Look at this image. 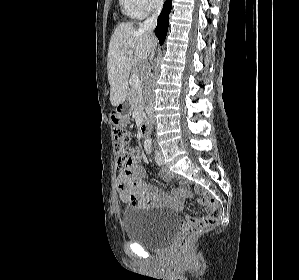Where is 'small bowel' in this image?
<instances>
[{"label":"small bowel","mask_w":299,"mask_h":280,"mask_svg":"<svg viewBox=\"0 0 299 280\" xmlns=\"http://www.w3.org/2000/svg\"><path fill=\"white\" fill-rule=\"evenodd\" d=\"M139 154L136 151L131 157L128 167L121 169L116 180L120 199L131 206L139 208L167 206L179 210L183 206L185 198L189 195V189L185 183L180 188L173 190L169 195L164 194L157 187L144 181L145 170L138 164ZM173 174L163 170L159 174V180L169 181Z\"/></svg>","instance_id":"1"}]
</instances>
